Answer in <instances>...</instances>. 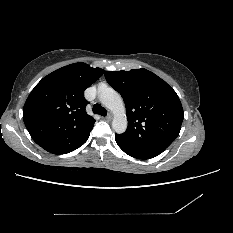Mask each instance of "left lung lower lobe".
I'll list each match as a JSON object with an SVG mask.
<instances>
[{"label": "left lung lower lobe", "instance_id": "0a47b994", "mask_svg": "<svg viewBox=\"0 0 233 233\" xmlns=\"http://www.w3.org/2000/svg\"><path fill=\"white\" fill-rule=\"evenodd\" d=\"M115 140L116 143L118 144V146L129 156L135 157L137 159H151L153 157H155L154 155H150V154H144V153H140L135 151L134 149H132L131 147L127 146L126 144H124L123 142H121L118 137L115 134Z\"/></svg>", "mask_w": 233, "mask_h": 233}]
</instances>
